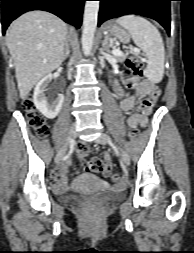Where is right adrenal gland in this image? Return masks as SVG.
<instances>
[{
	"instance_id": "right-adrenal-gland-1",
	"label": "right adrenal gland",
	"mask_w": 194,
	"mask_h": 253,
	"mask_svg": "<svg viewBox=\"0 0 194 253\" xmlns=\"http://www.w3.org/2000/svg\"><path fill=\"white\" fill-rule=\"evenodd\" d=\"M69 41H70V37L68 36L67 40H66V43H65V53H64V56H63V60H65L69 56V54H70Z\"/></svg>"
}]
</instances>
